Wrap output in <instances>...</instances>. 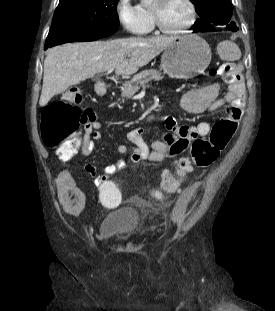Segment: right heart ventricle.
Returning a JSON list of instances; mask_svg holds the SVG:
<instances>
[{
	"instance_id": "obj_1",
	"label": "right heart ventricle",
	"mask_w": 275,
	"mask_h": 311,
	"mask_svg": "<svg viewBox=\"0 0 275 311\" xmlns=\"http://www.w3.org/2000/svg\"><path fill=\"white\" fill-rule=\"evenodd\" d=\"M139 6V9L140 11L146 16V18L148 19V22H149V27L147 29V31L145 33H148L150 32L153 27H154V21H153V16H152V12H151V9L146 7L145 5L143 4H140L138 5Z\"/></svg>"
}]
</instances>
